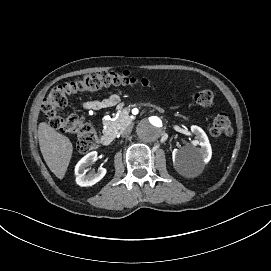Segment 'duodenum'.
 <instances>
[{
  "label": "duodenum",
  "mask_w": 271,
  "mask_h": 271,
  "mask_svg": "<svg viewBox=\"0 0 271 271\" xmlns=\"http://www.w3.org/2000/svg\"><path fill=\"white\" fill-rule=\"evenodd\" d=\"M114 140V135L111 131H105L101 135V142L103 145H110Z\"/></svg>",
  "instance_id": "1"
}]
</instances>
